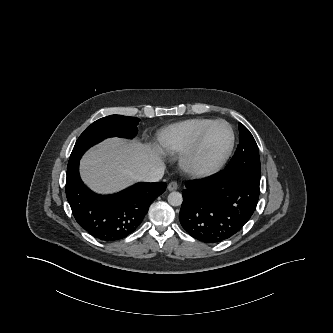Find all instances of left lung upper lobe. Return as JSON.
Instances as JSON below:
<instances>
[{
	"mask_svg": "<svg viewBox=\"0 0 333 333\" xmlns=\"http://www.w3.org/2000/svg\"><path fill=\"white\" fill-rule=\"evenodd\" d=\"M240 141L237 150L225 170L242 173L260 183V157L257 144L250 131L241 123L238 124Z\"/></svg>",
	"mask_w": 333,
	"mask_h": 333,
	"instance_id": "left-lung-upper-lobe-1",
	"label": "left lung upper lobe"
}]
</instances>
